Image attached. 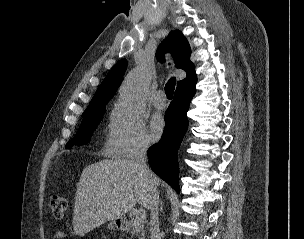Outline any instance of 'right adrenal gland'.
I'll list each match as a JSON object with an SVG mask.
<instances>
[{
  "label": "right adrenal gland",
  "mask_w": 304,
  "mask_h": 239,
  "mask_svg": "<svg viewBox=\"0 0 304 239\" xmlns=\"http://www.w3.org/2000/svg\"><path fill=\"white\" fill-rule=\"evenodd\" d=\"M160 210L163 211V202L160 201Z\"/></svg>",
  "instance_id": "2a0ac1e0"
}]
</instances>
